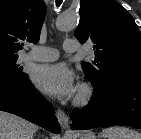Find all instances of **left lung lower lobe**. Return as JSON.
Masks as SVG:
<instances>
[{"label": "left lung lower lobe", "mask_w": 141, "mask_h": 139, "mask_svg": "<svg viewBox=\"0 0 141 139\" xmlns=\"http://www.w3.org/2000/svg\"><path fill=\"white\" fill-rule=\"evenodd\" d=\"M72 129L125 125L141 129V79L113 78L94 88L89 104L70 115Z\"/></svg>", "instance_id": "0a47b994"}]
</instances>
